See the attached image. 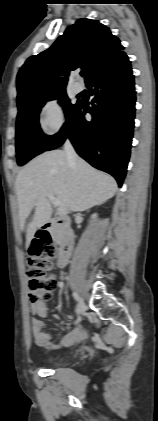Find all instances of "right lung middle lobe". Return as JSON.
<instances>
[{"instance_id":"1","label":"right lung middle lobe","mask_w":158,"mask_h":421,"mask_svg":"<svg viewBox=\"0 0 158 421\" xmlns=\"http://www.w3.org/2000/svg\"><path fill=\"white\" fill-rule=\"evenodd\" d=\"M60 99L65 116L68 118L77 106L71 104L65 90L54 91L36 96L18 104L16 123V156L22 166L36 155L45 151L54 136L44 135L39 126V113L46 101Z\"/></svg>"}]
</instances>
